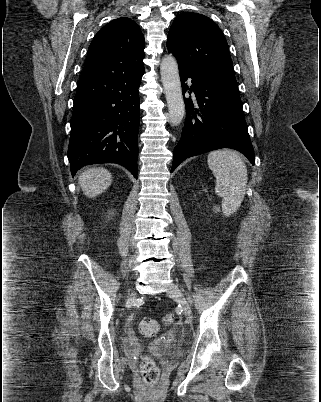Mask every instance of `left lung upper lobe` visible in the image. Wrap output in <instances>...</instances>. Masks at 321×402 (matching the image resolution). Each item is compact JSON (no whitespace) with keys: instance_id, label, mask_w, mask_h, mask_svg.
Segmentation results:
<instances>
[{"instance_id":"5c2ea615","label":"left lung upper lobe","mask_w":321,"mask_h":402,"mask_svg":"<svg viewBox=\"0 0 321 402\" xmlns=\"http://www.w3.org/2000/svg\"><path fill=\"white\" fill-rule=\"evenodd\" d=\"M167 49L178 65L196 73L235 78L227 41L208 17L184 12L174 20Z\"/></svg>"}]
</instances>
